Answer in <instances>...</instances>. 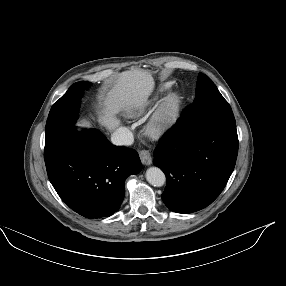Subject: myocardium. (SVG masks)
<instances>
[{
  "label": "myocardium",
  "instance_id": "obj_1",
  "mask_svg": "<svg viewBox=\"0 0 286 286\" xmlns=\"http://www.w3.org/2000/svg\"><path fill=\"white\" fill-rule=\"evenodd\" d=\"M181 104V97L177 92L168 94L155 108L150 116L147 128L151 133H157L176 114Z\"/></svg>",
  "mask_w": 286,
  "mask_h": 286
}]
</instances>
